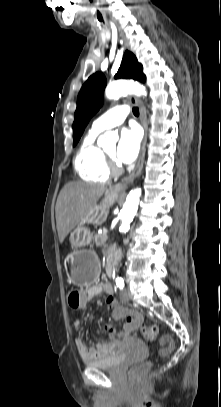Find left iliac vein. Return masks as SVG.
<instances>
[{
	"mask_svg": "<svg viewBox=\"0 0 221 407\" xmlns=\"http://www.w3.org/2000/svg\"><path fill=\"white\" fill-rule=\"evenodd\" d=\"M120 298L123 302L127 303L130 301L129 291L127 289L122 290L120 293Z\"/></svg>",
	"mask_w": 221,
	"mask_h": 407,
	"instance_id": "4c4485c4",
	"label": "left iliac vein"
}]
</instances>
